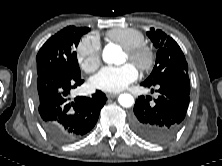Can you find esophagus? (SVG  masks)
<instances>
[{
  "label": "esophagus",
  "instance_id": "34e87169",
  "mask_svg": "<svg viewBox=\"0 0 222 166\" xmlns=\"http://www.w3.org/2000/svg\"><path fill=\"white\" fill-rule=\"evenodd\" d=\"M106 95L108 98H114V97L118 96V93H107Z\"/></svg>",
  "mask_w": 222,
  "mask_h": 166
}]
</instances>
